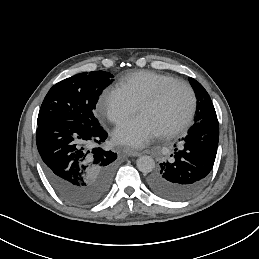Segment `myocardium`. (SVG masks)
I'll use <instances>...</instances> for the list:
<instances>
[{"label":"myocardium","instance_id":"1","mask_svg":"<svg viewBox=\"0 0 259 259\" xmlns=\"http://www.w3.org/2000/svg\"><path fill=\"white\" fill-rule=\"evenodd\" d=\"M175 85H182L187 89L190 95V105H189L188 112L186 113V115L181 121H179L171 129L161 133V136L165 138H170L179 134L193 119L197 108V96L194 88L184 80L174 78L172 80L166 81L158 87L154 95L141 102L138 110V112H140L145 107L153 106L159 103L161 99L164 97V95L167 93V91Z\"/></svg>","mask_w":259,"mask_h":259}]
</instances>
